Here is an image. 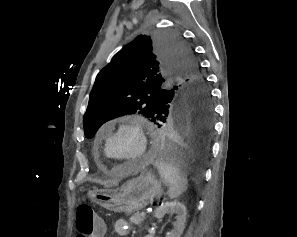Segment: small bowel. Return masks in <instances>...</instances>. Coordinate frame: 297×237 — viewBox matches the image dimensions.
Instances as JSON below:
<instances>
[{
	"instance_id": "1",
	"label": "small bowel",
	"mask_w": 297,
	"mask_h": 237,
	"mask_svg": "<svg viewBox=\"0 0 297 237\" xmlns=\"http://www.w3.org/2000/svg\"><path fill=\"white\" fill-rule=\"evenodd\" d=\"M115 231L119 236L126 237L130 231L129 224L125 220L120 219L115 223ZM103 232L104 230H101L100 235L103 234Z\"/></svg>"
}]
</instances>
